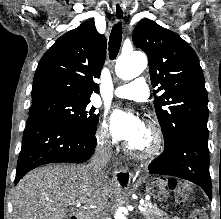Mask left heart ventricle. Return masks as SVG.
Instances as JSON below:
<instances>
[{"label": "left heart ventricle", "mask_w": 221, "mask_h": 219, "mask_svg": "<svg viewBox=\"0 0 221 219\" xmlns=\"http://www.w3.org/2000/svg\"><path fill=\"white\" fill-rule=\"evenodd\" d=\"M149 136L146 130L143 128L139 134L130 141V143L137 148H144L148 144Z\"/></svg>", "instance_id": "left-heart-ventricle-1"}]
</instances>
